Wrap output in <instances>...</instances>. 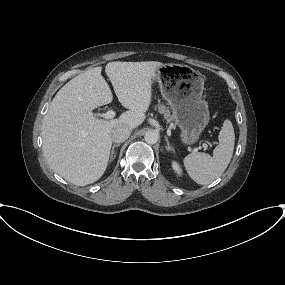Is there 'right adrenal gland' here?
I'll list each match as a JSON object with an SVG mask.
<instances>
[{"instance_id": "2a0ac1e0", "label": "right adrenal gland", "mask_w": 285, "mask_h": 285, "mask_svg": "<svg viewBox=\"0 0 285 285\" xmlns=\"http://www.w3.org/2000/svg\"><path fill=\"white\" fill-rule=\"evenodd\" d=\"M119 146H120V143L114 144V145L112 146L111 154H110V161H112L113 156H114V154H115V151H114L115 147H119Z\"/></svg>"}]
</instances>
